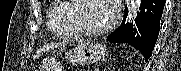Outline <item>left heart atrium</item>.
<instances>
[{
  "label": "left heart atrium",
  "instance_id": "left-heart-atrium-1",
  "mask_svg": "<svg viewBox=\"0 0 181 71\" xmlns=\"http://www.w3.org/2000/svg\"><path fill=\"white\" fill-rule=\"evenodd\" d=\"M117 12V1H108V7L106 10V18L107 20H111L114 18Z\"/></svg>",
  "mask_w": 181,
  "mask_h": 71
}]
</instances>
